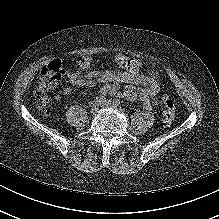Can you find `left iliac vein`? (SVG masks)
Returning <instances> with one entry per match:
<instances>
[{"mask_svg": "<svg viewBox=\"0 0 219 219\" xmlns=\"http://www.w3.org/2000/svg\"><path fill=\"white\" fill-rule=\"evenodd\" d=\"M101 106L103 108L117 109V106H115L110 100H106Z\"/></svg>", "mask_w": 219, "mask_h": 219, "instance_id": "1", "label": "left iliac vein"}]
</instances>
